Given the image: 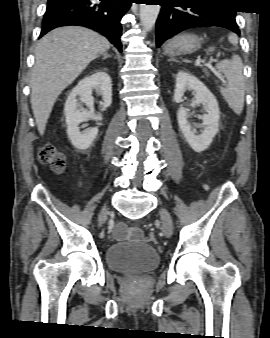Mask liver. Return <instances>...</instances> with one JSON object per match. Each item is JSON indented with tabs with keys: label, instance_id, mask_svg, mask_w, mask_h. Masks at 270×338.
<instances>
[{
	"label": "liver",
	"instance_id": "6515ba94",
	"mask_svg": "<svg viewBox=\"0 0 270 338\" xmlns=\"http://www.w3.org/2000/svg\"><path fill=\"white\" fill-rule=\"evenodd\" d=\"M110 42L98 33L77 26L61 27L38 43L31 75V106L40 135L61 92L69 86Z\"/></svg>",
	"mask_w": 270,
	"mask_h": 338
}]
</instances>
